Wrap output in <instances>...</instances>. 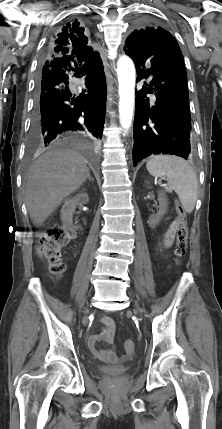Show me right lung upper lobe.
Masks as SVG:
<instances>
[{
    "instance_id": "cb5924a9",
    "label": "right lung upper lobe",
    "mask_w": 222,
    "mask_h": 429,
    "mask_svg": "<svg viewBox=\"0 0 222 429\" xmlns=\"http://www.w3.org/2000/svg\"><path fill=\"white\" fill-rule=\"evenodd\" d=\"M88 38L84 35V29L74 24L62 33L55 34L49 43L50 56L70 55L74 60L83 62L99 56L92 47L87 45Z\"/></svg>"
}]
</instances>
